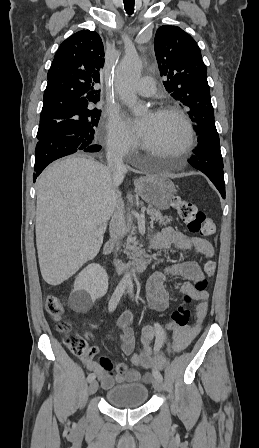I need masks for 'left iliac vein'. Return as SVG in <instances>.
Instances as JSON below:
<instances>
[{"label":"left iliac vein","instance_id":"4c4485c4","mask_svg":"<svg viewBox=\"0 0 259 448\" xmlns=\"http://www.w3.org/2000/svg\"><path fill=\"white\" fill-rule=\"evenodd\" d=\"M153 386H154L155 390H157L158 392L163 390V383L159 379H155L154 380Z\"/></svg>","mask_w":259,"mask_h":448}]
</instances>
